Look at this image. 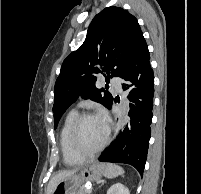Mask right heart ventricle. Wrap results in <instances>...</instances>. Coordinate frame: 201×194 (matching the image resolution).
Instances as JSON below:
<instances>
[{"label":"right heart ventricle","mask_w":201,"mask_h":194,"mask_svg":"<svg viewBox=\"0 0 201 194\" xmlns=\"http://www.w3.org/2000/svg\"><path fill=\"white\" fill-rule=\"evenodd\" d=\"M78 115L76 110L69 111L62 122L59 132V146L62 160L68 166L79 165L85 160V158L74 152L70 142L71 128Z\"/></svg>","instance_id":"right-heart-ventricle-1"}]
</instances>
